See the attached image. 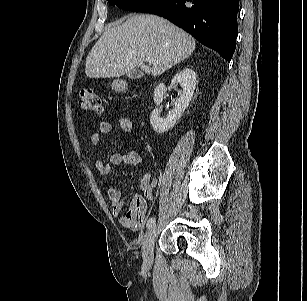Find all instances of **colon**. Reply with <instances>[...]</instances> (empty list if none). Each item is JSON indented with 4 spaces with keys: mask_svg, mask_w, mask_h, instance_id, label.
I'll return each instance as SVG.
<instances>
[{
    "mask_svg": "<svg viewBox=\"0 0 307 301\" xmlns=\"http://www.w3.org/2000/svg\"><path fill=\"white\" fill-rule=\"evenodd\" d=\"M79 104L82 110L95 114H100L103 109L100 97L91 89L80 90Z\"/></svg>",
    "mask_w": 307,
    "mask_h": 301,
    "instance_id": "colon-1",
    "label": "colon"
}]
</instances>
